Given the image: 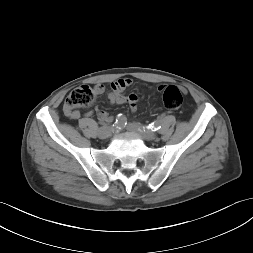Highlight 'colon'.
<instances>
[{"mask_svg": "<svg viewBox=\"0 0 253 253\" xmlns=\"http://www.w3.org/2000/svg\"><path fill=\"white\" fill-rule=\"evenodd\" d=\"M95 100V91L89 86H81L73 90L65 100V107L69 110L89 107ZM162 102L169 111L177 110L183 102L181 90L176 86L162 88Z\"/></svg>", "mask_w": 253, "mask_h": 253, "instance_id": "obj_1", "label": "colon"}]
</instances>
